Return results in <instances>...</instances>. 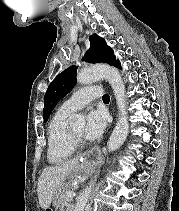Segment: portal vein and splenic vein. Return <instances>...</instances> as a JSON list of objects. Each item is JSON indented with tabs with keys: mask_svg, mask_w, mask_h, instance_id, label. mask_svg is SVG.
I'll return each mask as SVG.
<instances>
[{
	"mask_svg": "<svg viewBox=\"0 0 179 211\" xmlns=\"http://www.w3.org/2000/svg\"><path fill=\"white\" fill-rule=\"evenodd\" d=\"M67 194H68L69 197H75L76 196V193L71 192V191H69Z\"/></svg>",
	"mask_w": 179,
	"mask_h": 211,
	"instance_id": "obj_1",
	"label": "portal vein and splenic vein"
}]
</instances>
